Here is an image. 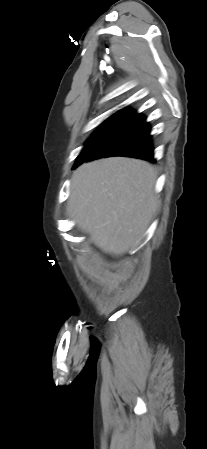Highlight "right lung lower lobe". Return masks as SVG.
Here are the masks:
<instances>
[{
  "instance_id": "1",
  "label": "right lung lower lobe",
  "mask_w": 207,
  "mask_h": 449,
  "mask_svg": "<svg viewBox=\"0 0 207 449\" xmlns=\"http://www.w3.org/2000/svg\"><path fill=\"white\" fill-rule=\"evenodd\" d=\"M145 120L144 116L137 115L85 161L110 156H128L155 162L150 127Z\"/></svg>"
}]
</instances>
